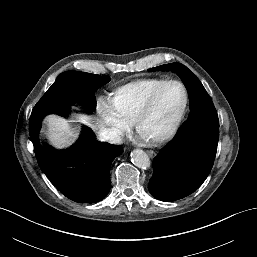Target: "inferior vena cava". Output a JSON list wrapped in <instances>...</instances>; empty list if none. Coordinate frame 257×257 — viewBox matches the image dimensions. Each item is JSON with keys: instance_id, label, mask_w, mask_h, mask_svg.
<instances>
[{"instance_id": "inferior-vena-cava-1", "label": "inferior vena cava", "mask_w": 257, "mask_h": 257, "mask_svg": "<svg viewBox=\"0 0 257 257\" xmlns=\"http://www.w3.org/2000/svg\"><path fill=\"white\" fill-rule=\"evenodd\" d=\"M121 135H122L121 132L114 131V132L111 133V138L114 140V142L119 143L122 140Z\"/></svg>"}]
</instances>
